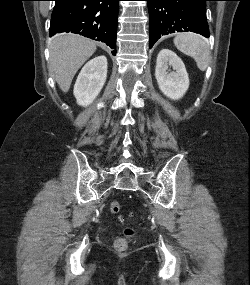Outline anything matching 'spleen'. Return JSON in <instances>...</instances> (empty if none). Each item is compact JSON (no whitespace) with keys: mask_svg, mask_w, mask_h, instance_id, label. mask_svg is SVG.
Segmentation results:
<instances>
[{"mask_svg":"<svg viewBox=\"0 0 250 285\" xmlns=\"http://www.w3.org/2000/svg\"><path fill=\"white\" fill-rule=\"evenodd\" d=\"M174 44L179 51L192 57L201 71L206 70L210 51L202 36L196 33H182L174 38Z\"/></svg>","mask_w":250,"mask_h":285,"instance_id":"obj_1","label":"spleen"}]
</instances>
